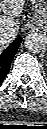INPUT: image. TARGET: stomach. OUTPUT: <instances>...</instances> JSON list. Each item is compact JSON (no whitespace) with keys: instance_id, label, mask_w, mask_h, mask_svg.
<instances>
[{"instance_id":"stomach-1","label":"stomach","mask_w":47,"mask_h":129,"mask_svg":"<svg viewBox=\"0 0 47 129\" xmlns=\"http://www.w3.org/2000/svg\"><path fill=\"white\" fill-rule=\"evenodd\" d=\"M34 9L30 28L47 31V0H30Z\"/></svg>"}]
</instances>
